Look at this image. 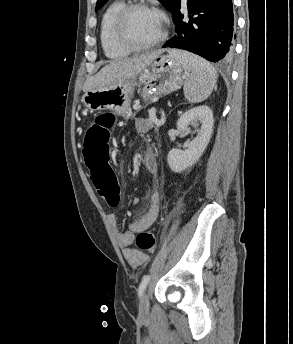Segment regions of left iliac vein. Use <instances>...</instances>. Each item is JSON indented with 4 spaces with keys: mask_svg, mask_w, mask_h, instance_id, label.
Segmentation results:
<instances>
[{
    "mask_svg": "<svg viewBox=\"0 0 293 344\" xmlns=\"http://www.w3.org/2000/svg\"><path fill=\"white\" fill-rule=\"evenodd\" d=\"M149 314V299L148 295L144 293L141 296L139 303V315L140 317H146Z\"/></svg>",
    "mask_w": 293,
    "mask_h": 344,
    "instance_id": "obj_1",
    "label": "left iliac vein"
}]
</instances>
